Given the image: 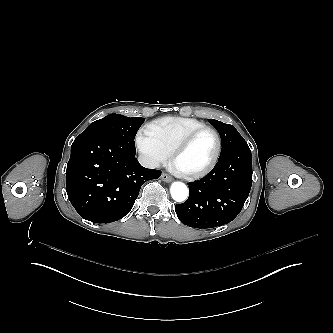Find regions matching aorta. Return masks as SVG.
I'll use <instances>...</instances> for the list:
<instances>
[{
    "mask_svg": "<svg viewBox=\"0 0 333 333\" xmlns=\"http://www.w3.org/2000/svg\"><path fill=\"white\" fill-rule=\"evenodd\" d=\"M170 192L172 199L178 203L185 202L189 197V190L187 186L181 182L173 183Z\"/></svg>",
    "mask_w": 333,
    "mask_h": 333,
    "instance_id": "1",
    "label": "aorta"
}]
</instances>
